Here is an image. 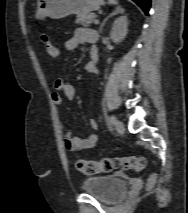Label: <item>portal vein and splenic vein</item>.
Instances as JSON below:
<instances>
[{
    "label": "portal vein and splenic vein",
    "mask_w": 188,
    "mask_h": 213,
    "mask_svg": "<svg viewBox=\"0 0 188 213\" xmlns=\"http://www.w3.org/2000/svg\"><path fill=\"white\" fill-rule=\"evenodd\" d=\"M94 23H95V24H99V20H98V19H95V20H94Z\"/></svg>",
    "instance_id": "obj_1"
}]
</instances>
